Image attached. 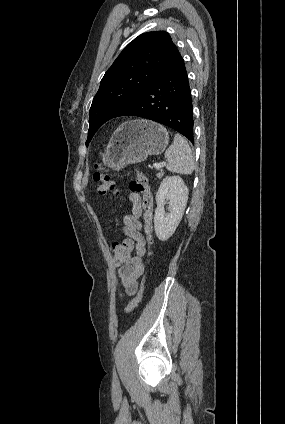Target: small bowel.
<instances>
[{"instance_id": "1", "label": "small bowel", "mask_w": 285, "mask_h": 424, "mask_svg": "<svg viewBox=\"0 0 285 424\" xmlns=\"http://www.w3.org/2000/svg\"><path fill=\"white\" fill-rule=\"evenodd\" d=\"M131 213L123 216V234L131 240L135 255L118 264V279L127 295L138 291L139 278L144 272L142 258L145 255V238L141 233L140 218L143 215L141 197L137 193L129 194Z\"/></svg>"}]
</instances>
